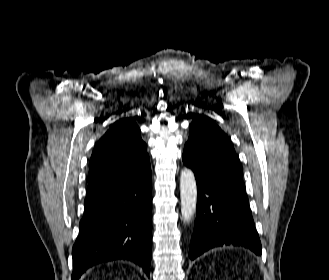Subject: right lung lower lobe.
<instances>
[{
	"mask_svg": "<svg viewBox=\"0 0 329 280\" xmlns=\"http://www.w3.org/2000/svg\"><path fill=\"white\" fill-rule=\"evenodd\" d=\"M151 216V168L90 181L72 250L71 280H78L93 265L116 259L133 261L150 277Z\"/></svg>",
	"mask_w": 329,
	"mask_h": 280,
	"instance_id": "98d812e1",
	"label": "right lung lower lobe"
}]
</instances>
